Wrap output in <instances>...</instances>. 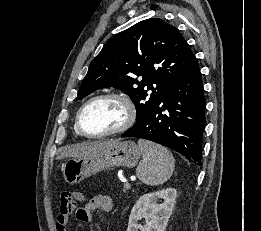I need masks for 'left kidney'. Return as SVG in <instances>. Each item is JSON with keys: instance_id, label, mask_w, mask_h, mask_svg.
<instances>
[{"instance_id": "left-kidney-1", "label": "left kidney", "mask_w": 261, "mask_h": 231, "mask_svg": "<svg viewBox=\"0 0 261 231\" xmlns=\"http://www.w3.org/2000/svg\"><path fill=\"white\" fill-rule=\"evenodd\" d=\"M176 196L174 188L142 195L131 210L127 231H165ZM159 200L163 202L158 203ZM142 218L146 222L144 226L138 224Z\"/></svg>"}]
</instances>
